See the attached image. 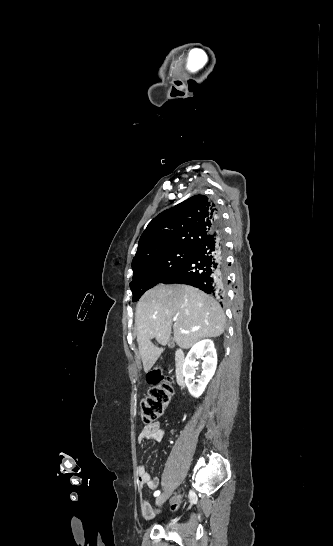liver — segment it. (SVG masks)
<instances>
[{"label": "liver", "instance_id": "liver-1", "mask_svg": "<svg viewBox=\"0 0 333 546\" xmlns=\"http://www.w3.org/2000/svg\"><path fill=\"white\" fill-rule=\"evenodd\" d=\"M135 316L145 372L150 371L163 352L152 339L165 346L172 327L174 342L183 349L202 339L218 337L225 329V314L217 301L188 285H159L148 290L138 301ZM181 330L188 333H181Z\"/></svg>", "mask_w": 333, "mask_h": 546}]
</instances>
